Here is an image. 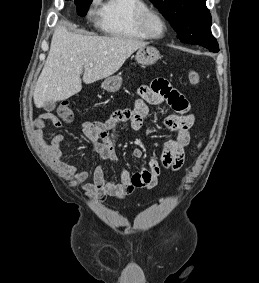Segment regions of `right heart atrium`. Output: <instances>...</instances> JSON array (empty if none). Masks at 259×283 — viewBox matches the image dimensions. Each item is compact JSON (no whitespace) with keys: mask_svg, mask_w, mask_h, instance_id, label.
Wrapping results in <instances>:
<instances>
[{"mask_svg":"<svg viewBox=\"0 0 259 283\" xmlns=\"http://www.w3.org/2000/svg\"><path fill=\"white\" fill-rule=\"evenodd\" d=\"M99 2H100V0H93V2H92V6H91L90 12H89L92 17H95L96 14H97V12L95 11V7L99 4Z\"/></svg>","mask_w":259,"mask_h":283,"instance_id":"1","label":"right heart atrium"}]
</instances>
